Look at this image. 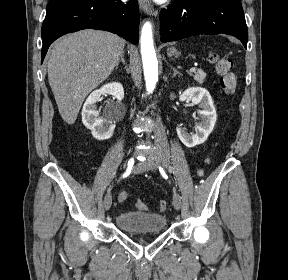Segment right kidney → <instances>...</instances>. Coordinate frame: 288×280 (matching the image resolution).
<instances>
[{"mask_svg": "<svg viewBox=\"0 0 288 280\" xmlns=\"http://www.w3.org/2000/svg\"><path fill=\"white\" fill-rule=\"evenodd\" d=\"M103 94L112 95L118 102L124 98L123 86L118 82L108 83L100 89L93 91L86 99L82 109V122L91 130L92 135L97 140H106L113 134L115 124L103 118H99L96 102Z\"/></svg>", "mask_w": 288, "mask_h": 280, "instance_id": "ca27d5eb", "label": "right kidney"}]
</instances>
